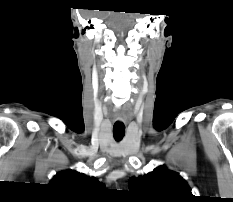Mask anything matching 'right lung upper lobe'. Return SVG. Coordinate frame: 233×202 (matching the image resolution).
I'll return each instance as SVG.
<instances>
[{"instance_id":"cb5924a9","label":"right lung upper lobe","mask_w":233,"mask_h":202,"mask_svg":"<svg viewBox=\"0 0 233 202\" xmlns=\"http://www.w3.org/2000/svg\"><path fill=\"white\" fill-rule=\"evenodd\" d=\"M50 185L67 192H84L103 186L96 178L86 176L75 170L57 173L51 180Z\"/></svg>"}]
</instances>
